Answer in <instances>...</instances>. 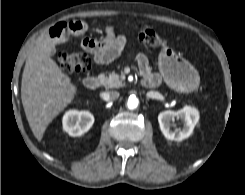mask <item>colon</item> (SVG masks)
Masks as SVG:
<instances>
[{
	"label": "colon",
	"mask_w": 245,
	"mask_h": 195,
	"mask_svg": "<svg viewBox=\"0 0 245 195\" xmlns=\"http://www.w3.org/2000/svg\"><path fill=\"white\" fill-rule=\"evenodd\" d=\"M138 39L142 45L149 48L163 47V38L154 30L144 28L139 32ZM90 58L80 52H64L59 56V66L62 72L67 75L80 74L88 70Z\"/></svg>",
	"instance_id": "5ec220e1"
}]
</instances>
